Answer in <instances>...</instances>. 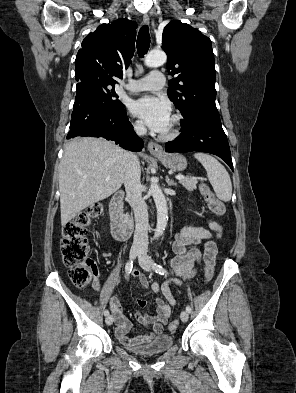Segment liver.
Wrapping results in <instances>:
<instances>
[{"instance_id": "obj_1", "label": "liver", "mask_w": 296, "mask_h": 393, "mask_svg": "<svg viewBox=\"0 0 296 393\" xmlns=\"http://www.w3.org/2000/svg\"><path fill=\"white\" fill-rule=\"evenodd\" d=\"M126 151L103 138L66 144L59 166L61 225L88 206L110 197L123 184ZM106 177H110L106 181Z\"/></svg>"}]
</instances>
